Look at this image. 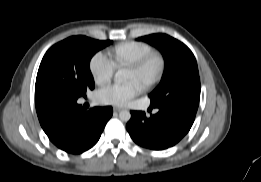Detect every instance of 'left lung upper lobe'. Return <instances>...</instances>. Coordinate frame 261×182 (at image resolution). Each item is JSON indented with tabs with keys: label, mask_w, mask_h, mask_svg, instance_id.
<instances>
[{
	"label": "left lung upper lobe",
	"mask_w": 261,
	"mask_h": 182,
	"mask_svg": "<svg viewBox=\"0 0 261 182\" xmlns=\"http://www.w3.org/2000/svg\"><path fill=\"white\" fill-rule=\"evenodd\" d=\"M138 40L157 47L165 60L162 80L149 95L151 106H168L186 100L199 103L200 78L191 50L182 42L161 33L140 37Z\"/></svg>",
	"instance_id": "obj_1"
}]
</instances>
